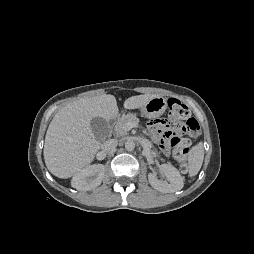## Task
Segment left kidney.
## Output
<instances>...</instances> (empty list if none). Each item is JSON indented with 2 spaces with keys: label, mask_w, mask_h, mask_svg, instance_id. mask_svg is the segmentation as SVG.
Masks as SVG:
<instances>
[{
  "label": "left kidney",
  "mask_w": 254,
  "mask_h": 254,
  "mask_svg": "<svg viewBox=\"0 0 254 254\" xmlns=\"http://www.w3.org/2000/svg\"><path fill=\"white\" fill-rule=\"evenodd\" d=\"M161 170L167 181L158 180L153 173L148 174L149 183L154 189L163 193H172L182 189L184 185L183 178L174 166L162 164Z\"/></svg>",
  "instance_id": "5707ae66"
}]
</instances>
